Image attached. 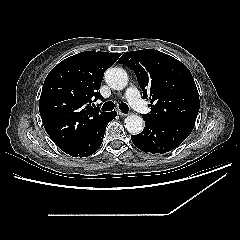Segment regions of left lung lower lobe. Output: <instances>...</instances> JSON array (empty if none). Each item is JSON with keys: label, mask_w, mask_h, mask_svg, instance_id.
<instances>
[{"label": "left lung lower lobe", "mask_w": 240, "mask_h": 240, "mask_svg": "<svg viewBox=\"0 0 240 240\" xmlns=\"http://www.w3.org/2000/svg\"><path fill=\"white\" fill-rule=\"evenodd\" d=\"M145 120V127L138 135H132L133 144L144 152L166 153L179 146L192 132L195 121L170 120L156 121Z\"/></svg>", "instance_id": "0a47b994"}]
</instances>
